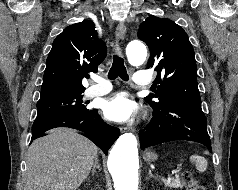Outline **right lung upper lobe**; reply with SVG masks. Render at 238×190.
Returning a JSON list of instances; mask_svg holds the SVG:
<instances>
[{
    "instance_id": "right-lung-upper-lobe-1",
    "label": "right lung upper lobe",
    "mask_w": 238,
    "mask_h": 190,
    "mask_svg": "<svg viewBox=\"0 0 238 190\" xmlns=\"http://www.w3.org/2000/svg\"><path fill=\"white\" fill-rule=\"evenodd\" d=\"M95 24L82 21L66 27L52 44L46 61L40 99L82 93V78L96 72L107 53Z\"/></svg>"
}]
</instances>
